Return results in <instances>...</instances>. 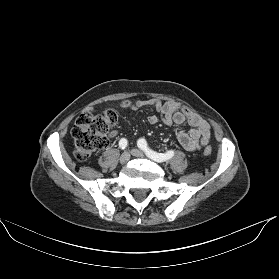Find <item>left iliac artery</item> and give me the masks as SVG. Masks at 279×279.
<instances>
[{
  "label": "left iliac artery",
  "instance_id": "1",
  "mask_svg": "<svg viewBox=\"0 0 279 279\" xmlns=\"http://www.w3.org/2000/svg\"><path fill=\"white\" fill-rule=\"evenodd\" d=\"M137 145H138V147L142 151L145 152V154L149 158H151V159H153V160H155L157 162L167 161V160H169L170 158H172L174 156V151H172V150H170V151H168V152H166L164 154L163 153H157V152L153 151L152 149H150L148 147L147 142H146V140L144 138L139 139L137 141Z\"/></svg>",
  "mask_w": 279,
  "mask_h": 279
}]
</instances>
